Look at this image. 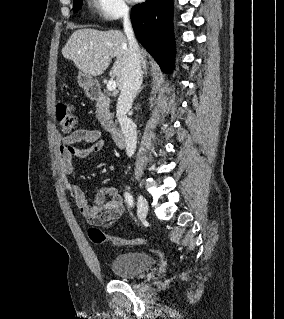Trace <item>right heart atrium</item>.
<instances>
[{
	"instance_id": "1",
	"label": "right heart atrium",
	"mask_w": 284,
	"mask_h": 319,
	"mask_svg": "<svg viewBox=\"0 0 284 319\" xmlns=\"http://www.w3.org/2000/svg\"><path fill=\"white\" fill-rule=\"evenodd\" d=\"M96 16L104 22L125 18L129 14L126 0H90Z\"/></svg>"
}]
</instances>
